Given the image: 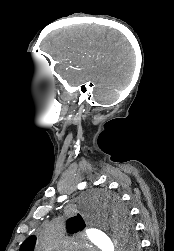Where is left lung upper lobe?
<instances>
[{
  "label": "left lung upper lobe",
  "instance_id": "1",
  "mask_svg": "<svg viewBox=\"0 0 174 251\" xmlns=\"http://www.w3.org/2000/svg\"><path fill=\"white\" fill-rule=\"evenodd\" d=\"M108 206L107 211L111 213L115 220V226L123 231V235L126 236L125 239L128 242H131L132 245L134 243L132 236V226L127 221V211L122 207L119 199L117 197L108 198ZM110 208V209H109ZM67 231L69 233H74L80 229L85 227V223L82 218L78 215V217H73L68 219L67 221ZM36 237L30 236L26 241L21 245L20 251H34Z\"/></svg>",
  "mask_w": 174,
  "mask_h": 251
}]
</instances>
